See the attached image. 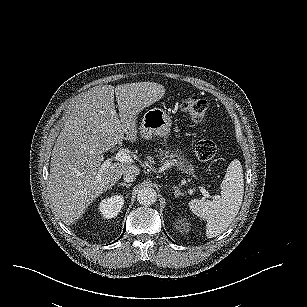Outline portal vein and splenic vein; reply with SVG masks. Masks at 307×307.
Returning a JSON list of instances; mask_svg holds the SVG:
<instances>
[{
	"label": "portal vein and splenic vein",
	"mask_w": 307,
	"mask_h": 307,
	"mask_svg": "<svg viewBox=\"0 0 307 307\" xmlns=\"http://www.w3.org/2000/svg\"><path fill=\"white\" fill-rule=\"evenodd\" d=\"M115 160L119 161V162H123V163H133V159L132 157L128 154V152L125 149H121L119 150L116 155L113 157ZM112 159H107L102 165H101V169H105L106 167H108L111 163ZM200 192L202 193V195L205 198H210L211 195L209 194V192L204 188V187H199ZM218 196H215V198H217Z\"/></svg>",
	"instance_id": "portal-vein-and-splenic-vein-1"
}]
</instances>
